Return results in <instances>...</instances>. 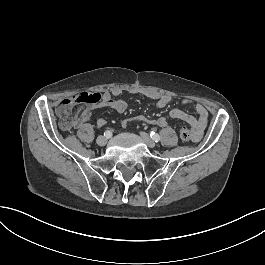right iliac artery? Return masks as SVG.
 <instances>
[{
	"label": "right iliac artery",
	"mask_w": 265,
	"mask_h": 265,
	"mask_svg": "<svg viewBox=\"0 0 265 265\" xmlns=\"http://www.w3.org/2000/svg\"><path fill=\"white\" fill-rule=\"evenodd\" d=\"M104 136L108 139V138H110L112 136V133L110 131H106L104 133Z\"/></svg>",
	"instance_id": "obj_1"
}]
</instances>
